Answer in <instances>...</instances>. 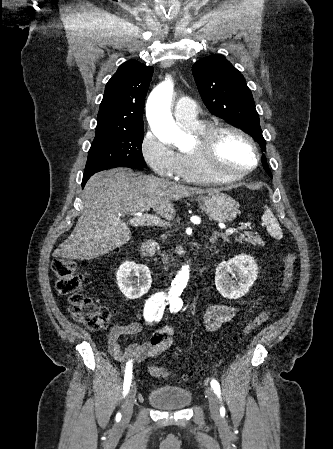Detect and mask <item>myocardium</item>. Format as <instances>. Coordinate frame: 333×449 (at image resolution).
<instances>
[{
    "label": "myocardium",
    "instance_id": "f54148a6",
    "mask_svg": "<svg viewBox=\"0 0 333 449\" xmlns=\"http://www.w3.org/2000/svg\"><path fill=\"white\" fill-rule=\"evenodd\" d=\"M228 134H234L243 138L251 146L255 154L254 164L240 173L223 172L215 164L219 143ZM194 151L207 174L221 182H235L245 179L258 167L261 160L260 151L254 139L242 129L231 125L209 126L206 128L204 132L198 135Z\"/></svg>",
    "mask_w": 333,
    "mask_h": 449
}]
</instances>
